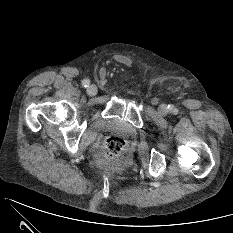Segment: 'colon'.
I'll list each match as a JSON object with an SVG mask.
<instances>
[{"instance_id": "1", "label": "colon", "mask_w": 233, "mask_h": 233, "mask_svg": "<svg viewBox=\"0 0 233 233\" xmlns=\"http://www.w3.org/2000/svg\"><path fill=\"white\" fill-rule=\"evenodd\" d=\"M126 149V142L118 136L107 137L96 154L97 161L102 165L116 162Z\"/></svg>"}]
</instances>
